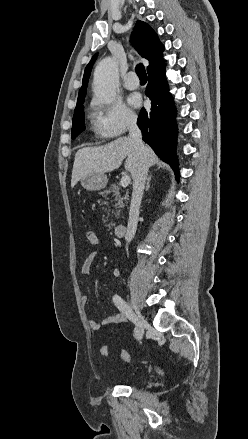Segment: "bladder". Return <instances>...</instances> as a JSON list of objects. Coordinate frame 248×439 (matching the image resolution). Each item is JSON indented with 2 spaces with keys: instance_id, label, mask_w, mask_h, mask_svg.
<instances>
[{
  "instance_id": "1",
  "label": "bladder",
  "mask_w": 248,
  "mask_h": 439,
  "mask_svg": "<svg viewBox=\"0 0 248 439\" xmlns=\"http://www.w3.org/2000/svg\"><path fill=\"white\" fill-rule=\"evenodd\" d=\"M141 379V376H138L136 378L133 379V381H139Z\"/></svg>"
}]
</instances>
